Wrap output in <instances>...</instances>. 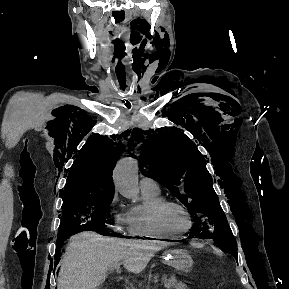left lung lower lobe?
Here are the masks:
<instances>
[{
	"instance_id": "1",
	"label": "left lung lower lobe",
	"mask_w": 289,
	"mask_h": 289,
	"mask_svg": "<svg viewBox=\"0 0 289 289\" xmlns=\"http://www.w3.org/2000/svg\"><path fill=\"white\" fill-rule=\"evenodd\" d=\"M190 237H192V236L190 235ZM201 238H205V239H208V237H205V236H203V237H201Z\"/></svg>"
}]
</instances>
